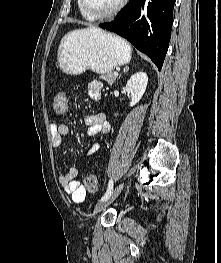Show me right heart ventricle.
<instances>
[{
    "mask_svg": "<svg viewBox=\"0 0 221 263\" xmlns=\"http://www.w3.org/2000/svg\"><path fill=\"white\" fill-rule=\"evenodd\" d=\"M78 8H79L80 13H81L83 16L87 17V16L84 14V12L82 11L81 7H80L79 0H78ZM87 18H88V17H87Z\"/></svg>",
    "mask_w": 221,
    "mask_h": 263,
    "instance_id": "right-heart-ventricle-1",
    "label": "right heart ventricle"
}]
</instances>
